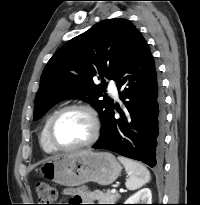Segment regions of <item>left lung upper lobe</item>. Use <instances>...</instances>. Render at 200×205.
Segmentation results:
<instances>
[{"label":"left lung upper lobe","instance_id":"obj_1","mask_svg":"<svg viewBox=\"0 0 200 205\" xmlns=\"http://www.w3.org/2000/svg\"><path fill=\"white\" fill-rule=\"evenodd\" d=\"M138 31L126 19H107L62 46L48 61L35 97L34 119L64 98L89 101L104 123L114 103L103 92L129 52ZM102 83L94 84L93 79Z\"/></svg>","mask_w":200,"mask_h":205}]
</instances>
